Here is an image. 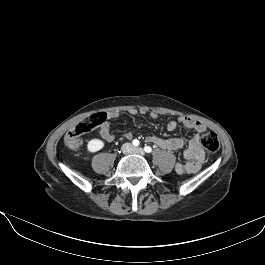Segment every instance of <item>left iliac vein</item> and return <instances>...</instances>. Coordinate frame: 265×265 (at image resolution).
<instances>
[{"label":"left iliac vein","mask_w":265,"mask_h":265,"mask_svg":"<svg viewBox=\"0 0 265 265\" xmlns=\"http://www.w3.org/2000/svg\"><path fill=\"white\" fill-rule=\"evenodd\" d=\"M132 152L142 156L145 154L142 148H133Z\"/></svg>","instance_id":"4c4485c4"}]
</instances>
